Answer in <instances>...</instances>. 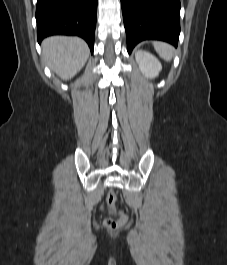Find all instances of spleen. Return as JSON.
I'll use <instances>...</instances> for the list:
<instances>
[{
    "label": "spleen",
    "instance_id": "obj_1",
    "mask_svg": "<svg viewBox=\"0 0 227 265\" xmlns=\"http://www.w3.org/2000/svg\"><path fill=\"white\" fill-rule=\"evenodd\" d=\"M156 52L165 61H170L174 55V48L168 43L156 41L153 43Z\"/></svg>",
    "mask_w": 227,
    "mask_h": 265
}]
</instances>
